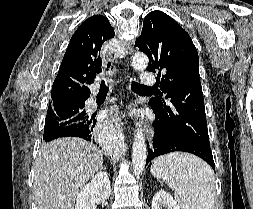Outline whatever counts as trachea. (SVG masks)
<instances>
[{"label":"trachea","instance_id":"3493384b","mask_svg":"<svg viewBox=\"0 0 253 209\" xmlns=\"http://www.w3.org/2000/svg\"><path fill=\"white\" fill-rule=\"evenodd\" d=\"M131 88H132V89L146 88V86H143V85H141V84H139V83L133 81L132 84H131ZM108 89H109V88H108V86H106L105 81L102 80V81H101V85H100V90H108Z\"/></svg>","mask_w":253,"mask_h":209}]
</instances>
